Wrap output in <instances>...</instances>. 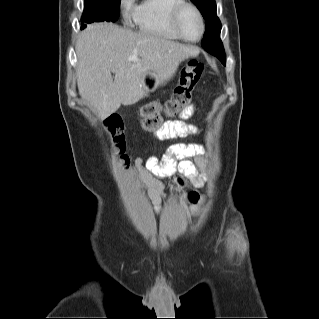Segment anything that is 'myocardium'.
Returning a JSON list of instances; mask_svg holds the SVG:
<instances>
[{
    "instance_id": "obj_1",
    "label": "myocardium",
    "mask_w": 319,
    "mask_h": 319,
    "mask_svg": "<svg viewBox=\"0 0 319 319\" xmlns=\"http://www.w3.org/2000/svg\"><path fill=\"white\" fill-rule=\"evenodd\" d=\"M188 8L192 9L195 12V14H196V16H197V18L199 20V23H200V34L195 39H189L186 36H184L183 33L181 32L180 28H179L180 16L184 12V10H186ZM169 25H170L172 31L174 32V34L178 38H180V39H182V40H184L186 42H198L203 37L204 31H205L204 19H203V15H202L201 11L193 3L185 2V1L177 4L172 9V11L170 13V17H169Z\"/></svg>"
}]
</instances>
